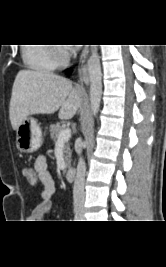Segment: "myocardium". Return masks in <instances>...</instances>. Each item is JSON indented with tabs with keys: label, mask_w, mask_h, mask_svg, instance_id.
<instances>
[{
	"label": "myocardium",
	"mask_w": 166,
	"mask_h": 267,
	"mask_svg": "<svg viewBox=\"0 0 166 267\" xmlns=\"http://www.w3.org/2000/svg\"><path fill=\"white\" fill-rule=\"evenodd\" d=\"M52 50L57 62L65 63L67 61V57L62 53L61 49L58 46H54Z\"/></svg>",
	"instance_id": "myocardium-1"
}]
</instances>
